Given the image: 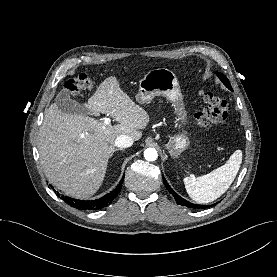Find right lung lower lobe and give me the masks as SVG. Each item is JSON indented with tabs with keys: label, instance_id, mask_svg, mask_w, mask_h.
<instances>
[{
	"label": "right lung lower lobe",
	"instance_id": "right-lung-lower-lobe-1",
	"mask_svg": "<svg viewBox=\"0 0 277 277\" xmlns=\"http://www.w3.org/2000/svg\"><path fill=\"white\" fill-rule=\"evenodd\" d=\"M123 180H124V176L120 181V183L118 184V186L112 192L94 201L77 200V199H73L70 197H63V196H62V199H64L70 206L80 210H98L108 206L112 202V200L120 192L122 188Z\"/></svg>",
	"mask_w": 277,
	"mask_h": 277
}]
</instances>
